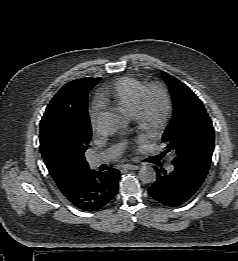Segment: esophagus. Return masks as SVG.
<instances>
[{
    "mask_svg": "<svg viewBox=\"0 0 238 261\" xmlns=\"http://www.w3.org/2000/svg\"><path fill=\"white\" fill-rule=\"evenodd\" d=\"M122 168L127 169V170H137L139 167L137 165H132V164H124Z\"/></svg>",
    "mask_w": 238,
    "mask_h": 261,
    "instance_id": "obj_1",
    "label": "esophagus"
}]
</instances>
